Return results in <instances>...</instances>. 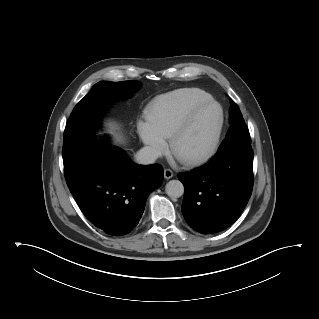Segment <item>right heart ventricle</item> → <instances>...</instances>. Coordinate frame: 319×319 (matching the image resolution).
I'll return each instance as SVG.
<instances>
[{"label": "right heart ventricle", "instance_id": "obj_1", "mask_svg": "<svg viewBox=\"0 0 319 319\" xmlns=\"http://www.w3.org/2000/svg\"><path fill=\"white\" fill-rule=\"evenodd\" d=\"M210 99L211 95L199 88H182L159 95L147 108V122L164 138H170L196 105Z\"/></svg>", "mask_w": 319, "mask_h": 319}]
</instances>
